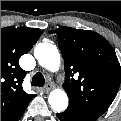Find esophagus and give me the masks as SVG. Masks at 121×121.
Returning <instances> with one entry per match:
<instances>
[{"mask_svg": "<svg viewBox=\"0 0 121 121\" xmlns=\"http://www.w3.org/2000/svg\"><path fill=\"white\" fill-rule=\"evenodd\" d=\"M50 89H51V86H50V85H46V86L44 87V91H45L46 93H48V92L50 91Z\"/></svg>", "mask_w": 121, "mask_h": 121, "instance_id": "obj_1", "label": "esophagus"}]
</instances>
